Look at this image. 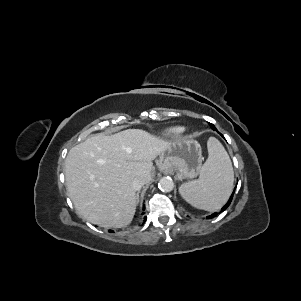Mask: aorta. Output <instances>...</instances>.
Segmentation results:
<instances>
[{
  "label": "aorta",
  "instance_id": "1",
  "mask_svg": "<svg viewBox=\"0 0 301 301\" xmlns=\"http://www.w3.org/2000/svg\"><path fill=\"white\" fill-rule=\"evenodd\" d=\"M158 187L163 192H170L174 188V182L170 177H162L159 180Z\"/></svg>",
  "mask_w": 301,
  "mask_h": 301
}]
</instances>
